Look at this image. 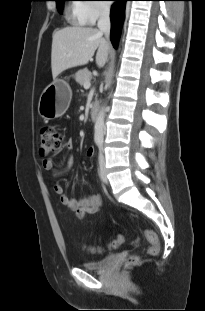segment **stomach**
I'll use <instances>...</instances> for the list:
<instances>
[{
  "label": "stomach",
  "mask_w": 205,
  "mask_h": 311,
  "mask_svg": "<svg viewBox=\"0 0 205 311\" xmlns=\"http://www.w3.org/2000/svg\"><path fill=\"white\" fill-rule=\"evenodd\" d=\"M72 91L67 83L56 80L42 92L38 112L46 120L61 117L69 107Z\"/></svg>",
  "instance_id": "1"
}]
</instances>
